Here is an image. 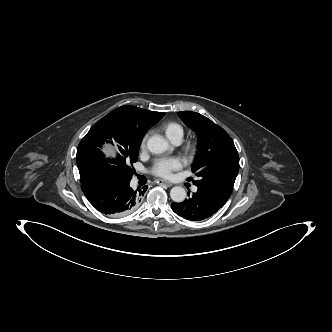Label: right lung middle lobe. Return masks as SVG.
Listing matches in <instances>:
<instances>
[{"label": "right lung middle lobe", "instance_id": "dd1d6c3e", "mask_svg": "<svg viewBox=\"0 0 332 332\" xmlns=\"http://www.w3.org/2000/svg\"><path fill=\"white\" fill-rule=\"evenodd\" d=\"M156 123L131 117L122 108H117L91 127L77 148L76 161L80 181L108 174L118 178H132L130 167L138 159L143 136ZM107 142L116 145L117 153L106 158L100 148Z\"/></svg>", "mask_w": 332, "mask_h": 332}]
</instances>
